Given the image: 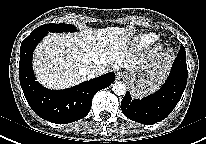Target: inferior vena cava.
I'll list each match as a JSON object with an SVG mask.
<instances>
[{"label": "inferior vena cava", "instance_id": "obj_1", "mask_svg": "<svg viewBox=\"0 0 206 144\" xmlns=\"http://www.w3.org/2000/svg\"><path fill=\"white\" fill-rule=\"evenodd\" d=\"M85 74L89 79L98 77L103 74V68L100 66H91L85 70Z\"/></svg>", "mask_w": 206, "mask_h": 144}]
</instances>
